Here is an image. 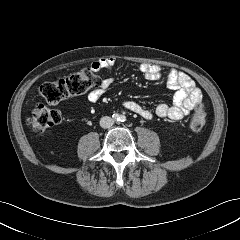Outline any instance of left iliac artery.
I'll return each mask as SVG.
<instances>
[{
    "label": "left iliac artery",
    "mask_w": 240,
    "mask_h": 240,
    "mask_svg": "<svg viewBox=\"0 0 240 240\" xmlns=\"http://www.w3.org/2000/svg\"><path fill=\"white\" fill-rule=\"evenodd\" d=\"M120 121H121V122L126 121V117H125L124 115H122V116L120 117Z\"/></svg>",
    "instance_id": "left-iliac-artery-1"
}]
</instances>
